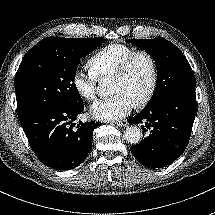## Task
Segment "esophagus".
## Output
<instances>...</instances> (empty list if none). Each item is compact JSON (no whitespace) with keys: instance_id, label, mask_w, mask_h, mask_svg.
<instances>
[{"instance_id":"obj_1","label":"esophagus","mask_w":215,"mask_h":215,"mask_svg":"<svg viewBox=\"0 0 215 215\" xmlns=\"http://www.w3.org/2000/svg\"><path fill=\"white\" fill-rule=\"evenodd\" d=\"M127 124H128V123H127L126 120H123V121H120V122H117V123H116L117 126H127Z\"/></svg>"}]
</instances>
